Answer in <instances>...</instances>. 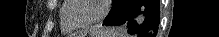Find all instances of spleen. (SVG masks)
<instances>
[{
	"label": "spleen",
	"mask_w": 219,
	"mask_h": 37,
	"mask_svg": "<svg viewBox=\"0 0 219 37\" xmlns=\"http://www.w3.org/2000/svg\"><path fill=\"white\" fill-rule=\"evenodd\" d=\"M108 32L109 37H127V33L124 27L109 29Z\"/></svg>",
	"instance_id": "spleen-1"
}]
</instances>
